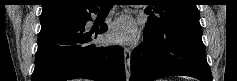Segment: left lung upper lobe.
<instances>
[{"mask_svg":"<svg viewBox=\"0 0 237 81\" xmlns=\"http://www.w3.org/2000/svg\"><path fill=\"white\" fill-rule=\"evenodd\" d=\"M150 6L158 16L148 18L145 31L155 33L169 25H196L199 23V10L195 0H152Z\"/></svg>","mask_w":237,"mask_h":81,"instance_id":"left-lung-upper-lobe-1","label":"left lung upper lobe"}]
</instances>
